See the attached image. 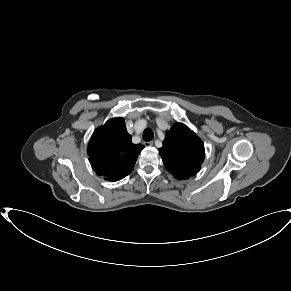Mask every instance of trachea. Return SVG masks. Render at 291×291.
<instances>
[{
    "instance_id": "1",
    "label": "trachea",
    "mask_w": 291,
    "mask_h": 291,
    "mask_svg": "<svg viewBox=\"0 0 291 291\" xmlns=\"http://www.w3.org/2000/svg\"><path fill=\"white\" fill-rule=\"evenodd\" d=\"M142 137L145 141H151L154 137V133H153L152 129L146 128L143 132Z\"/></svg>"
}]
</instances>
